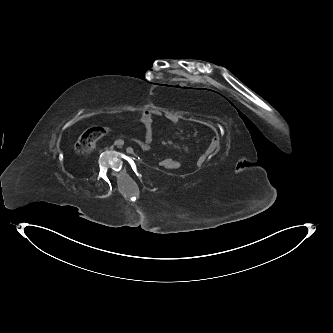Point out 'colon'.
Returning a JSON list of instances; mask_svg holds the SVG:
<instances>
[{"mask_svg":"<svg viewBox=\"0 0 333 333\" xmlns=\"http://www.w3.org/2000/svg\"><path fill=\"white\" fill-rule=\"evenodd\" d=\"M109 129L102 126H93L84 131L75 143V150L80 154H87L91 152L96 142L108 133ZM173 160L167 157L165 160L161 159L158 165L164 168L166 165L170 166Z\"/></svg>","mask_w":333,"mask_h":333,"instance_id":"colon-1","label":"colon"}]
</instances>
